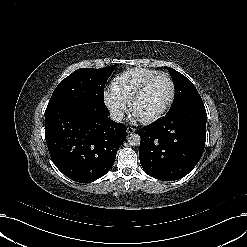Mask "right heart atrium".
<instances>
[{"mask_svg":"<svg viewBox=\"0 0 247 247\" xmlns=\"http://www.w3.org/2000/svg\"><path fill=\"white\" fill-rule=\"evenodd\" d=\"M105 104L111 110V112L116 116H121L125 110V104L117 99L112 94H108L104 98Z\"/></svg>","mask_w":247,"mask_h":247,"instance_id":"obj_1","label":"right heart atrium"}]
</instances>
